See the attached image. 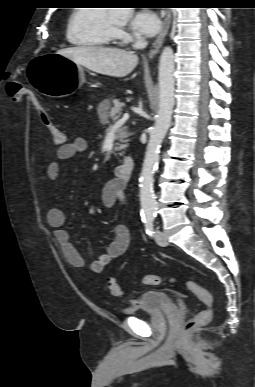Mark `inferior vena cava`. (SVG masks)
<instances>
[{"instance_id":"1","label":"inferior vena cava","mask_w":255,"mask_h":387,"mask_svg":"<svg viewBox=\"0 0 255 387\" xmlns=\"http://www.w3.org/2000/svg\"><path fill=\"white\" fill-rule=\"evenodd\" d=\"M146 45H147V42H146L145 39H143V38H138L137 41H136V43L134 44L133 47H134L135 49H141V48H145Z\"/></svg>"}]
</instances>
